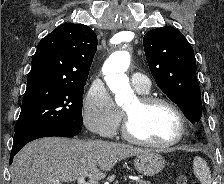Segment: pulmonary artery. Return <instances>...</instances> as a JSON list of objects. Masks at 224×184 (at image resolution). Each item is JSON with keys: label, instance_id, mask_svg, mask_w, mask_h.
Returning <instances> with one entry per match:
<instances>
[{"label": "pulmonary artery", "instance_id": "pulmonary-artery-1", "mask_svg": "<svg viewBox=\"0 0 224 184\" xmlns=\"http://www.w3.org/2000/svg\"><path fill=\"white\" fill-rule=\"evenodd\" d=\"M130 77L135 90L141 93L149 91L151 84L147 76L140 72H134Z\"/></svg>", "mask_w": 224, "mask_h": 184}]
</instances>
